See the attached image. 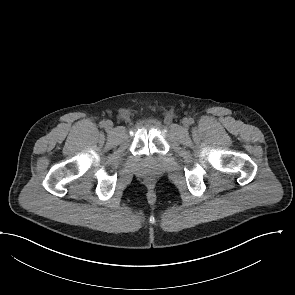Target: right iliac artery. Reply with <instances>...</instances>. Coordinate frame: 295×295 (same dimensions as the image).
<instances>
[{"label": "right iliac artery", "mask_w": 295, "mask_h": 295, "mask_svg": "<svg viewBox=\"0 0 295 295\" xmlns=\"http://www.w3.org/2000/svg\"><path fill=\"white\" fill-rule=\"evenodd\" d=\"M100 127H105V122L104 121L100 122Z\"/></svg>", "instance_id": "1"}]
</instances>
